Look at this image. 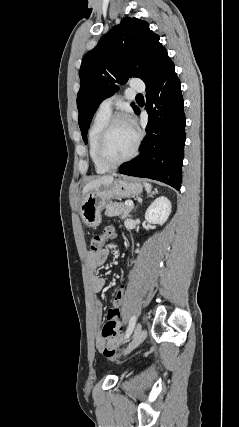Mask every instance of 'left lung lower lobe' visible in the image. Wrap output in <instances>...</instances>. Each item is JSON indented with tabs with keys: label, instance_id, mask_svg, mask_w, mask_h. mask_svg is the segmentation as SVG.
I'll use <instances>...</instances> for the list:
<instances>
[{
	"label": "left lung lower lobe",
	"instance_id": "1",
	"mask_svg": "<svg viewBox=\"0 0 239 427\" xmlns=\"http://www.w3.org/2000/svg\"><path fill=\"white\" fill-rule=\"evenodd\" d=\"M146 99L149 118L141 153L123 163L119 173L158 180L180 190L186 119L172 61L146 83ZM139 113L137 109L136 114Z\"/></svg>",
	"mask_w": 239,
	"mask_h": 427
}]
</instances>
